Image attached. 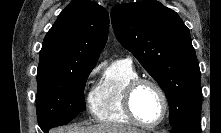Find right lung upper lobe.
Listing matches in <instances>:
<instances>
[{
	"mask_svg": "<svg viewBox=\"0 0 221 133\" xmlns=\"http://www.w3.org/2000/svg\"><path fill=\"white\" fill-rule=\"evenodd\" d=\"M108 29L106 9L92 1L72 0L43 41L38 71L97 62Z\"/></svg>",
	"mask_w": 221,
	"mask_h": 133,
	"instance_id": "obj_1",
	"label": "right lung upper lobe"
}]
</instances>
